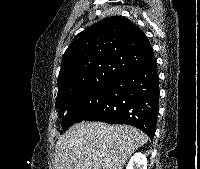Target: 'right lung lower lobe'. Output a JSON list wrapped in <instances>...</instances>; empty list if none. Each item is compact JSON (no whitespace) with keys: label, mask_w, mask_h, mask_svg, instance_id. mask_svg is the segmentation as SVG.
I'll use <instances>...</instances> for the list:
<instances>
[{"label":"right lung lower lobe","mask_w":200,"mask_h":169,"mask_svg":"<svg viewBox=\"0 0 200 169\" xmlns=\"http://www.w3.org/2000/svg\"><path fill=\"white\" fill-rule=\"evenodd\" d=\"M158 100V74L155 62L118 78L104 102L84 120L132 125L153 139Z\"/></svg>","instance_id":"right-lung-lower-lobe-1"}]
</instances>
